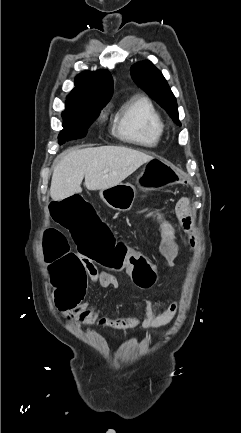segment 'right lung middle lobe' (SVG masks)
Masks as SVG:
<instances>
[{
    "instance_id": "1",
    "label": "right lung middle lobe",
    "mask_w": 241,
    "mask_h": 433,
    "mask_svg": "<svg viewBox=\"0 0 241 433\" xmlns=\"http://www.w3.org/2000/svg\"><path fill=\"white\" fill-rule=\"evenodd\" d=\"M105 105L95 103L66 104V109L62 113L64 129L58 136L59 144L68 140L83 138L90 124L98 117Z\"/></svg>"
}]
</instances>
